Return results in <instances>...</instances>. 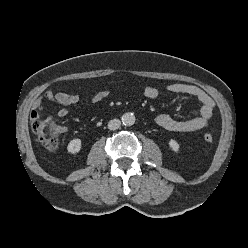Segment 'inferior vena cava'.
I'll list each match as a JSON object with an SVG mask.
<instances>
[{"label":"inferior vena cava","instance_id":"obj_1","mask_svg":"<svg viewBox=\"0 0 248 248\" xmlns=\"http://www.w3.org/2000/svg\"><path fill=\"white\" fill-rule=\"evenodd\" d=\"M121 126V121L119 119H113L108 122L109 130H116Z\"/></svg>","mask_w":248,"mask_h":248}]
</instances>
